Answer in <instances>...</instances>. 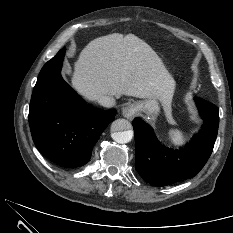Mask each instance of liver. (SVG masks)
Here are the masks:
<instances>
[{"label":"liver","mask_w":233,"mask_h":233,"mask_svg":"<svg viewBox=\"0 0 233 233\" xmlns=\"http://www.w3.org/2000/svg\"><path fill=\"white\" fill-rule=\"evenodd\" d=\"M72 86L90 101L101 96L156 98L169 105L175 81L162 59L133 34L92 40L74 65Z\"/></svg>","instance_id":"liver-1"}]
</instances>
